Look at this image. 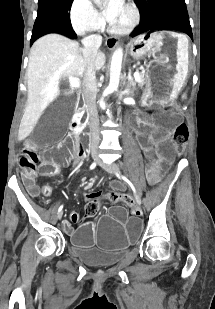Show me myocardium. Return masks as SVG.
<instances>
[{
    "instance_id": "f54148a6",
    "label": "myocardium",
    "mask_w": 215,
    "mask_h": 309,
    "mask_svg": "<svg viewBox=\"0 0 215 309\" xmlns=\"http://www.w3.org/2000/svg\"><path fill=\"white\" fill-rule=\"evenodd\" d=\"M126 13L129 15L125 16V21L118 19H108L103 25L105 30L109 29L111 34H130L131 30H134L139 24L138 13L135 12V9H127Z\"/></svg>"
}]
</instances>
